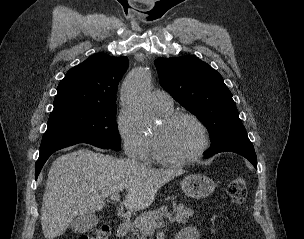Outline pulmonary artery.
I'll use <instances>...</instances> for the list:
<instances>
[{
	"label": "pulmonary artery",
	"mask_w": 304,
	"mask_h": 239,
	"mask_svg": "<svg viewBox=\"0 0 304 239\" xmlns=\"http://www.w3.org/2000/svg\"><path fill=\"white\" fill-rule=\"evenodd\" d=\"M150 102L155 108L169 109L173 107L171 95L161 90H155L150 94Z\"/></svg>",
	"instance_id": "1"
}]
</instances>
